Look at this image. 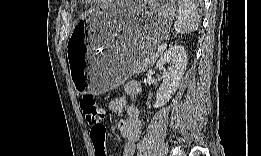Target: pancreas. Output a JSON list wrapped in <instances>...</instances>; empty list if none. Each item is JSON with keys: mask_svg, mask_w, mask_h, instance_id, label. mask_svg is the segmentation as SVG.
Masks as SVG:
<instances>
[{"mask_svg": "<svg viewBox=\"0 0 261 156\" xmlns=\"http://www.w3.org/2000/svg\"><path fill=\"white\" fill-rule=\"evenodd\" d=\"M158 55L154 52H148L134 69V73H140L155 63Z\"/></svg>", "mask_w": 261, "mask_h": 156, "instance_id": "cf45deb5", "label": "pancreas"}]
</instances>
